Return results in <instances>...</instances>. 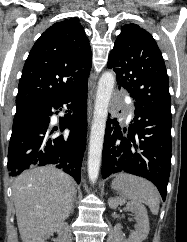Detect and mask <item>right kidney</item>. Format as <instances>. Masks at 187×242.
<instances>
[{"mask_svg": "<svg viewBox=\"0 0 187 242\" xmlns=\"http://www.w3.org/2000/svg\"><path fill=\"white\" fill-rule=\"evenodd\" d=\"M66 229H67V225H66L65 223H61L60 225H58L57 227H55V228L53 229V231H58V232H60V233L63 234V233L66 231ZM53 231L47 233V234H46L42 239H40L38 242H45V240H46L47 238H49V237L52 235Z\"/></svg>", "mask_w": 187, "mask_h": 242, "instance_id": "ca27d5eb", "label": "right kidney"}]
</instances>
